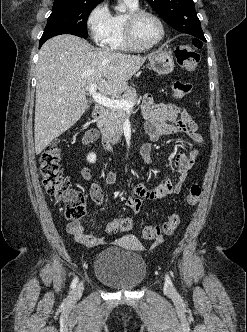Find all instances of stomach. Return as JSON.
Listing matches in <instances>:
<instances>
[{
    "label": "stomach",
    "mask_w": 247,
    "mask_h": 332,
    "mask_svg": "<svg viewBox=\"0 0 247 332\" xmlns=\"http://www.w3.org/2000/svg\"><path fill=\"white\" fill-rule=\"evenodd\" d=\"M150 67L159 74H169L174 69V60L171 52L159 51L150 56Z\"/></svg>",
    "instance_id": "stomach-1"
}]
</instances>
